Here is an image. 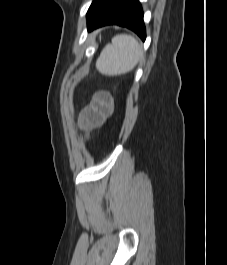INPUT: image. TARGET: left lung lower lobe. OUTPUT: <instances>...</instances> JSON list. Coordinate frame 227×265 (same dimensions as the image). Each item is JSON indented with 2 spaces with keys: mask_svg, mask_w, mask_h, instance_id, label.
Returning a JSON list of instances; mask_svg holds the SVG:
<instances>
[{
  "mask_svg": "<svg viewBox=\"0 0 227 265\" xmlns=\"http://www.w3.org/2000/svg\"><path fill=\"white\" fill-rule=\"evenodd\" d=\"M108 24L125 26L142 40L146 38L143 11L138 0H106L87 17L88 30Z\"/></svg>",
  "mask_w": 227,
  "mask_h": 265,
  "instance_id": "1",
  "label": "left lung lower lobe"
}]
</instances>
